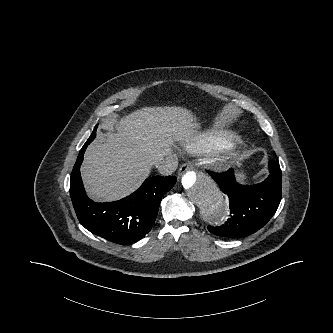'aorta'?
<instances>
[{"mask_svg":"<svg viewBox=\"0 0 333 333\" xmlns=\"http://www.w3.org/2000/svg\"><path fill=\"white\" fill-rule=\"evenodd\" d=\"M181 184L187 199L204 221L219 223L227 212L224 194L208 174L200 171H187Z\"/></svg>","mask_w":333,"mask_h":333,"instance_id":"1","label":"aorta"}]
</instances>
